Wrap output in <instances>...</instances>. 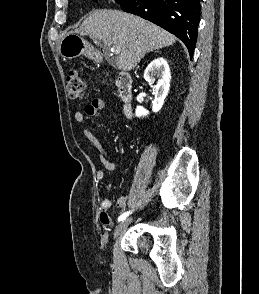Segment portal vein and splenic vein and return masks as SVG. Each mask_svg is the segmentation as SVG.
<instances>
[{"label":"portal vein and splenic vein","instance_id":"portal-vein-and-splenic-vein-1","mask_svg":"<svg viewBox=\"0 0 259 294\" xmlns=\"http://www.w3.org/2000/svg\"><path fill=\"white\" fill-rule=\"evenodd\" d=\"M111 50H112V52H114L115 54H119V53H120V48H118V47H112Z\"/></svg>","mask_w":259,"mask_h":294}]
</instances>
